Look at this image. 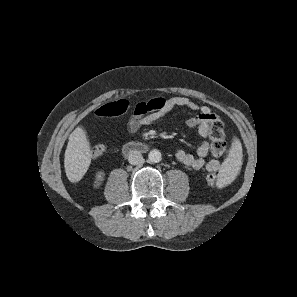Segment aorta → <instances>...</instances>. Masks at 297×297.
<instances>
[{"label":"aorta","mask_w":297,"mask_h":297,"mask_svg":"<svg viewBox=\"0 0 297 297\" xmlns=\"http://www.w3.org/2000/svg\"><path fill=\"white\" fill-rule=\"evenodd\" d=\"M148 159L151 163H159L162 159V155L159 150H151L148 154Z\"/></svg>","instance_id":"aorta-1"}]
</instances>
